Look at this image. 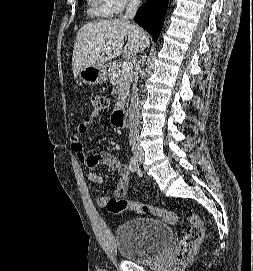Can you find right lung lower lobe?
<instances>
[{"label":"right lung lower lobe","mask_w":253,"mask_h":271,"mask_svg":"<svg viewBox=\"0 0 253 271\" xmlns=\"http://www.w3.org/2000/svg\"><path fill=\"white\" fill-rule=\"evenodd\" d=\"M169 0H147L138 10L135 21L148 31L156 42L166 15Z\"/></svg>","instance_id":"1"}]
</instances>
